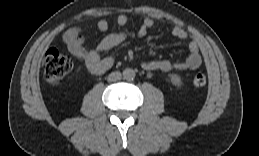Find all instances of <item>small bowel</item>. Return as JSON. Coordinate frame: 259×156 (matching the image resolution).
<instances>
[{
	"label": "small bowel",
	"instance_id": "small-bowel-1",
	"mask_svg": "<svg viewBox=\"0 0 259 156\" xmlns=\"http://www.w3.org/2000/svg\"><path fill=\"white\" fill-rule=\"evenodd\" d=\"M129 21L126 14H121L117 18V23L120 26H125ZM152 18H145L140 30V35H145L147 31L154 26ZM100 31H106L109 28L107 20H100L97 24ZM175 38L180 40L191 39L189 43V55L183 61L171 62L169 60H151L142 63V68L146 71H184L195 70L202 63V57L198 42L192 38L183 28L174 27L171 31ZM126 38L123 32L109 33L92 48H85V37L79 27H72L66 30L63 34V41L66 44L69 52L78 60L82 61L90 72L94 74H102L109 70L113 65L111 57H103L101 53L122 43Z\"/></svg>",
	"mask_w": 259,
	"mask_h": 156
}]
</instances>
